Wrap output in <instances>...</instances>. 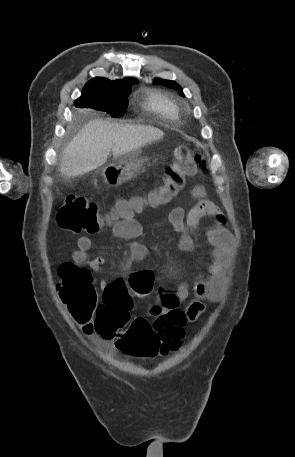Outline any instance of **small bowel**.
Here are the masks:
<instances>
[{"label": "small bowel", "instance_id": "c3829d8e", "mask_svg": "<svg viewBox=\"0 0 295 457\" xmlns=\"http://www.w3.org/2000/svg\"><path fill=\"white\" fill-rule=\"evenodd\" d=\"M192 195L198 202L190 210L185 212L181 207H173L169 211V221L174 231L179 234V249L190 252L195 248L192 232L204 217H213L217 222V226L211 228L206 233V242L211 246V262L207 267L208 278H199L193 285L192 290L195 299L185 310L186 325L196 322L200 315L204 313V301H213L218 298L222 287L229 249L232 245V235L224 226L226 222L225 216L216 204L206 198L205 189L202 186H196L192 190ZM111 232L115 238L132 240L129 245L130 253L125 261L124 270H127L131 263L141 262L147 257L148 248L143 243L135 240L143 234V227L133 216L112 224ZM77 244L78 248L73 253L75 263L78 265L85 264L93 271H99L105 259L100 256L89 259L88 251L92 247L91 238L81 236ZM108 286L109 284L106 281L100 283L101 289L105 290ZM189 294V286L182 283L177 287L172 301L179 305L188 298ZM75 321L85 335L95 333L92 322H83L76 319Z\"/></svg>", "mask_w": 295, "mask_h": 457}]
</instances>
